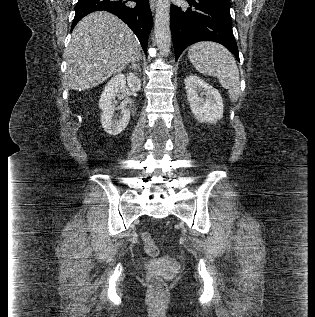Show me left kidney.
Wrapping results in <instances>:
<instances>
[{
  "mask_svg": "<svg viewBox=\"0 0 315 317\" xmlns=\"http://www.w3.org/2000/svg\"><path fill=\"white\" fill-rule=\"evenodd\" d=\"M187 100L195 118L201 123H216L223 118V100L213 86L196 75L185 79Z\"/></svg>",
  "mask_w": 315,
  "mask_h": 317,
  "instance_id": "1",
  "label": "left kidney"
}]
</instances>
